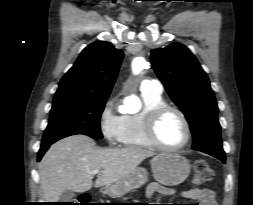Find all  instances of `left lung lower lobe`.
Instances as JSON below:
<instances>
[{
	"mask_svg": "<svg viewBox=\"0 0 253 205\" xmlns=\"http://www.w3.org/2000/svg\"><path fill=\"white\" fill-rule=\"evenodd\" d=\"M216 158H218L219 160H221L222 162H225V157H221V156H214Z\"/></svg>",
	"mask_w": 253,
	"mask_h": 205,
	"instance_id": "0a47b994",
	"label": "left lung lower lobe"
}]
</instances>
